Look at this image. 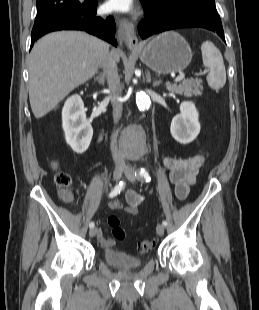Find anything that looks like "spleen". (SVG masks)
Masks as SVG:
<instances>
[{
    "label": "spleen",
    "instance_id": "1",
    "mask_svg": "<svg viewBox=\"0 0 259 310\" xmlns=\"http://www.w3.org/2000/svg\"><path fill=\"white\" fill-rule=\"evenodd\" d=\"M202 60L204 66L209 68L206 77L210 88L219 90L226 83V70L220 50L210 41L201 45Z\"/></svg>",
    "mask_w": 259,
    "mask_h": 310
}]
</instances>
